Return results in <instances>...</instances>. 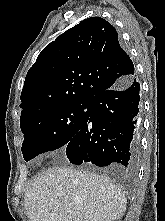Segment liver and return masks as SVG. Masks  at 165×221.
Returning <instances> with one entry per match:
<instances>
[{
  "mask_svg": "<svg viewBox=\"0 0 165 221\" xmlns=\"http://www.w3.org/2000/svg\"><path fill=\"white\" fill-rule=\"evenodd\" d=\"M126 204L124 193L109 178L67 167L38 173L24 196L30 221H115Z\"/></svg>",
  "mask_w": 165,
  "mask_h": 221,
  "instance_id": "obj_1",
  "label": "liver"
}]
</instances>
